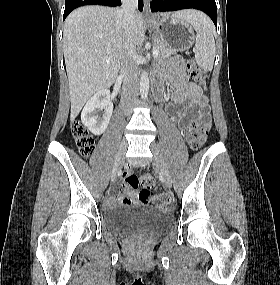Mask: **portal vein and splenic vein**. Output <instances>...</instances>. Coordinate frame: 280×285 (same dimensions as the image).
Masks as SVG:
<instances>
[{"mask_svg":"<svg viewBox=\"0 0 280 285\" xmlns=\"http://www.w3.org/2000/svg\"><path fill=\"white\" fill-rule=\"evenodd\" d=\"M152 55H153L154 58H156V57H158L159 53H158V51L156 49H153ZM107 61H110V58H107Z\"/></svg>","mask_w":280,"mask_h":285,"instance_id":"18ae733b","label":"portal vein and splenic vein"}]
</instances>
